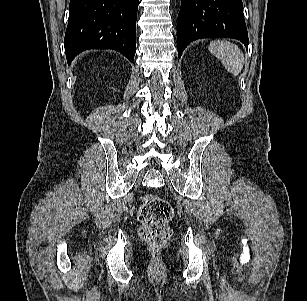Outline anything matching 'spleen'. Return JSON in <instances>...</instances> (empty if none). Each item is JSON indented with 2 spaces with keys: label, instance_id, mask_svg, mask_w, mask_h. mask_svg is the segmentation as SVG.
<instances>
[{
  "label": "spleen",
  "instance_id": "3e777b00",
  "mask_svg": "<svg viewBox=\"0 0 307 301\" xmlns=\"http://www.w3.org/2000/svg\"><path fill=\"white\" fill-rule=\"evenodd\" d=\"M208 48L234 76H237L241 72L244 56L237 45L228 41L215 40L210 42Z\"/></svg>",
  "mask_w": 307,
  "mask_h": 301
}]
</instances>
